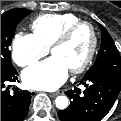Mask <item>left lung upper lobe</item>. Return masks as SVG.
I'll return each instance as SVG.
<instances>
[{
	"instance_id": "left-lung-upper-lobe-1",
	"label": "left lung upper lobe",
	"mask_w": 121,
	"mask_h": 121,
	"mask_svg": "<svg viewBox=\"0 0 121 121\" xmlns=\"http://www.w3.org/2000/svg\"><path fill=\"white\" fill-rule=\"evenodd\" d=\"M100 28L102 30L101 48L95 63L86 74L100 71L121 72V58L114 41L102 25Z\"/></svg>"
}]
</instances>
